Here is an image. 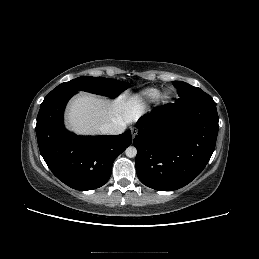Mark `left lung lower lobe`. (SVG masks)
Listing matches in <instances>:
<instances>
[{
  "label": "left lung lower lobe",
  "mask_w": 259,
  "mask_h": 259,
  "mask_svg": "<svg viewBox=\"0 0 259 259\" xmlns=\"http://www.w3.org/2000/svg\"><path fill=\"white\" fill-rule=\"evenodd\" d=\"M218 121L214 101L177 100L140 118V130L133 140L140 181L160 191H173L190 183L211 158Z\"/></svg>",
  "instance_id": "left-lung-lower-lobe-1"
}]
</instances>
